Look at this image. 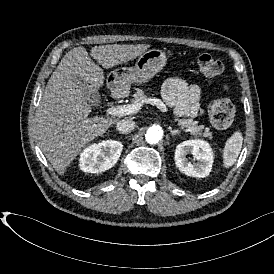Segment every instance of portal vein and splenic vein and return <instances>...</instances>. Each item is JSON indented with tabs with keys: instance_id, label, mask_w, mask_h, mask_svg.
Returning a JSON list of instances; mask_svg holds the SVG:
<instances>
[{
	"instance_id": "18ae733b",
	"label": "portal vein and splenic vein",
	"mask_w": 274,
	"mask_h": 274,
	"mask_svg": "<svg viewBox=\"0 0 274 274\" xmlns=\"http://www.w3.org/2000/svg\"><path fill=\"white\" fill-rule=\"evenodd\" d=\"M142 103L160 105L164 111H167L166 106L163 104V102L160 99L146 98L142 100L141 102H137L135 104L113 106L111 108H108L106 112L109 115L118 116V117L135 114V113H138V111L140 110Z\"/></svg>"
}]
</instances>
